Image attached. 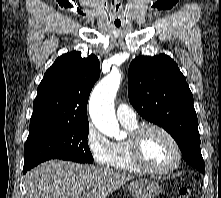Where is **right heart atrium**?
<instances>
[{
    "mask_svg": "<svg viewBox=\"0 0 221 198\" xmlns=\"http://www.w3.org/2000/svg\"><path fill=\"white\" fill-rule=\"evenodd\" d=\"M86 146L94 159L101 166H109L113 143L109 141L93 123H89L85 133Z\"/></svg>",
    "mask_w": 221,
    "mask_h": 198,
    "instance_id": "right-heart-atrium-1",
    "label": "right heart atrium"
}]
</instances>
